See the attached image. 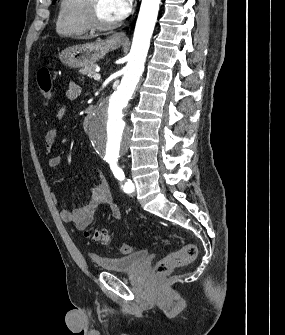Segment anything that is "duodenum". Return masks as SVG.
<instances>
[{
  "instance_id": "obj_1",
  "label": "duodenum",
  "mask_w": 285,
  "mask_h": 335,
  "mask_svg": "<svg viewBox=\"0 0 285 335\" xmlns=\"http://www.w3.org/2000/svg\"><path fill=\"white\" fill-rule=\"evenodd\" d=\"M92 112H93V111H92L91 109H89V110L86 112V115H85L84 120H83V126H84V128H87V127H88V123H89V121H90V119H91Z\"/></svg>"
}]
</instances>
